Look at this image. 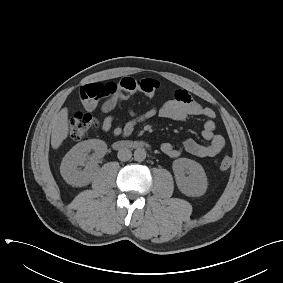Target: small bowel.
<instances>
[{
	"label": "small bowel",
	"instance_id": "obj_1",
	"mask_svg": "<svg viewBox=\"0 0 283 283\" xmlns=\"http://www.w3.org/2000/svg\"><path fill=\"white\" fill-rule=\"evenodd\" d=\"M115 83H91L85 85L80 90L81 103L85 110L91 112L98 106L99 100L106 98L101 106L103 115L110 113L117 105L112 89ZM130 119L124 124H115V119L111 115H106L101 122V129L104 132H112L114 136H130L136 127L154 117H161L175 121L184 122L191 117L199 116L206 119L202 129V137L206 144H201L194 139H187L182 146L176 147L170 142L161 145V151L171 158H176L186 152L196 157H215L225 148V139L221 135L215 134V112L209 107L202 106L195 101L185 90H177L174 98L163 105L152 106L146 111L139 113L133 108L128 109Z\"/></svg>",
	"mask_w": 283,
	"mask_h": 283
}]
</instances>
